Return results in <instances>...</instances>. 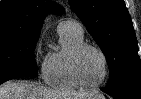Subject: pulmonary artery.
Instances as JSON below:
<instances>
[{"instance_id":"obj_1","label":"pulmonary artery","mask_w":141,"mask_h":99,"mask_svg":"<svg viewBox=\"0 0 141 99\" xmlns=\"http://www.w3.org/2000/svg\"><path fill=\"white\" fill-rule=\"evenodd\" d=\"M57 29L59 34L71 33L80 36L83 35V28L80 23L72 19H67L59 22Z\"/></svg>"}]
</instances>
